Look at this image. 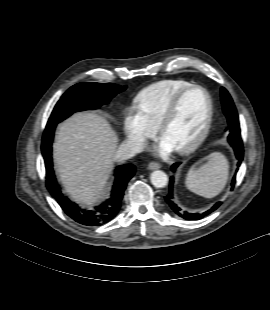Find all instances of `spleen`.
<instances>
[{
	"label": "spleen",
	"mask_w": 270,
	"mask_h": 310,
	"mask_svg": "<svg viewBox=\"0 0 270 310\" xmlns=\"http://www.w3.org/2000/svg\"><path fill=\"white\" fill-rule=\"evenodd\" d=\"M205 163H197L186 177V186L193 193L205 198L220 194L229 175L227 158L219 152L209 155Z\"/></svg>",
	"instance_id": "spleen-1"
}]
</instances>
